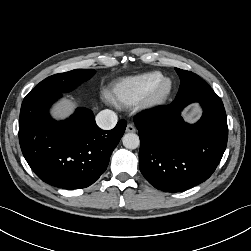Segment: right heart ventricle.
<instances>
[{
  "label": "right heart ventricle",
  "mask_w": 251,
  "mask_h": 251,
  "mask_svg": "<svg viewBox=\"0 0 251 251\" xmlns=\"http://www.w3.org/2000/svg\"><path fill=\"white\" fill-rule=\"evenodd\" d=\"M163 78L164 75L159 71L121 78L112 85L108 97L117 106H133L141 102L153 86Z\"/></svg>",
  "instance_id": "obj_1"
}]
</instances>
